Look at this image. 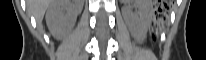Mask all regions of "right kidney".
I'll list each match as a JSON object with an SVG mask.
<instances>
[{"label":"right kidney","mask_w":206,"mask_h":60,"mask_svg":"<svg viewBox=\"0 0 206 60\" xmlns=\"http://www.w3.org/2000/svg\"><path fill=\"white\" fill-rule=\"evenodd\" d=\"M80 11V2L70 0H56L52 2L46 13L49 30L58 37L63 36L75 23Z\"/></svg>","instance_id":"ca27d5eb"}]
</instances>
